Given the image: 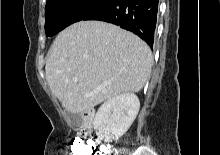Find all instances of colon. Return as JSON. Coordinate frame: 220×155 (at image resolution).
I'll list each match as a JSON object with an SVG mask.
<instances>
[{
	"mask_svg": "<svg viewBox=\"0 0 220 155\" xmlns=\"http://www.w3.org/2000/svg\"><path fill=\"white\" fill-rule=\"evenodd\" d=\"M70 147L71 155H99L98 143H84L81 138L73 139Z\"/></svg>",
	"mask_w": 220,
	"mask_h": 155,
	"instance_id": "obj_1",
	"label": "colon"
}]
</instances>
